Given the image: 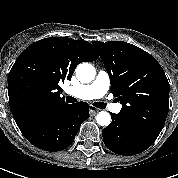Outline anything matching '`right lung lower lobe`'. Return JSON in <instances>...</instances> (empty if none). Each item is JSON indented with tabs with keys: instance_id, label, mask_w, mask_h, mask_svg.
Returning <instances> with one entry per match:
<instances>
[{
	"instance_id": "98d812e1",
	"label": "right lung lower lobe",
	"mask_w": 178,
	"mask_h": 178,
	"mask_svg": "<svg viewBox=\"0 0 178 178\" xmlns=\"http://www.w3.org/2000/svg\"><path fill=\"white\" fill-rule=\"evenodd\" d=\"M88 118V104L79 102L33 115L18 127L34 146L45 151H60L72 144L80 125Z\"/></svg>"
}]
</instances>
